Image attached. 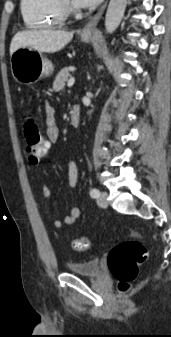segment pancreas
Returning <instances> with one entry per match:
<instances>
[{"mask_svg":"<svg viewBox=\"0 0 171 337\" xmlns=\"http://www.w3.org/2000/svg\"><path fill=\"white\" fill-rule=\"evenodd\" d=\"M69 68H63L58 75L55 78V81L53 82V91L55 92H59L61 91L64 86H65V82L67 81L68 77H69Z\"/></svg>","mask_w":171,"mask_h":337,"instance_id":"1","label":"pancreas"}]
</instances>
